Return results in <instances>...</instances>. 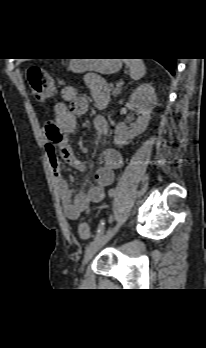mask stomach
I'll use <instances>...</instances> for the list:
<instances>
[{
  "label": "stomach",
  "mask_w": 206,
  "mask_h": 348,
  "mask_svg": "<svg viewBox=\"0 0 206 348\" xmlns=\"http://www.w3.org/2000/svg\"><path fill=\"white\" fill-rule=\"evenodd\" d=\"M119 59H71L69 69L75 73L95 71L101 74H112L120 70Z\"/></svg>",
  "instance_id": "1"
}]
</instances>
